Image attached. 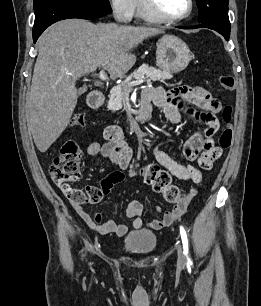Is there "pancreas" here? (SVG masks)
<instances>
[{
    "label": "pancreas",
    "instance_id": "1",
    "mask_svg": "<svg viewBox=\"0 0 261 306\" xmlns=\"http://www.w3.org/2000/svg\"><path fill=\"white\" fill-rule=\"evenodd\" d=\"M133 77H139L141 80L150 84L151 81L162 82L166 79H171L173 76L170 71H161L145 64L140 66L137 71L133 72L129 77H127L123 83L111 89L107 104L109 110L115 112L122 108L123 102L129 97L131 88L128 86V83H130Z\"/></svg>",
    "mask_w": 261,
    "mask_h": 306
}]
</instances>
